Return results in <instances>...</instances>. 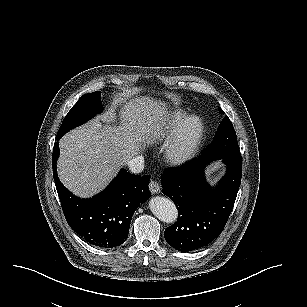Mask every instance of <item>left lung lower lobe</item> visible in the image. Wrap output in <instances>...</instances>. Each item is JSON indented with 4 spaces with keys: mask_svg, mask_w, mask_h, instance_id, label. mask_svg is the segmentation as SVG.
I'll use <instances>...</instances> for the list:
<instances>
[{
    "mask_svg": "<svg viewBox=\"0 0 307 307\" xmlns=\"http://www.w3.org/2000/svg\"><path fill=\"white\" fill-rule=\"evenodd\" d=\"M222 159L227 172L216 189L204 178V167ZM242 176L241 159L201 158L164 171L163 193L178 209L177 222L166 228L165 240L174 249L189 252L201 249L223 231L233 209Z\"/></svg>",
    "mask_w": 307,
    "mask_h": 307,
    "instance_id": "0a47b994",
    "label": "left lung lower lobe"
}]
</instances>
